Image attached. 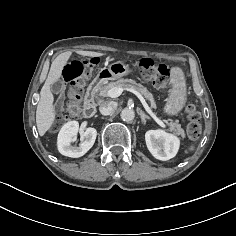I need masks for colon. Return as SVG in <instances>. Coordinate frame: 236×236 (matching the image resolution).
<instances>
[{
	"label": "colon",
	"mask_w": 236,
	"mask_h": 236,
	"mask_svg": "<svg viewBox=\"0 0 236 236\" xmlns=\"http://www.w3.org/2000/svg\"><path fill=\"white\" fill-rule=\"evenodd\" d=\"M96 65L95 58L70 59L63 66L62 76L67 83V100L65 109L56 116L59 124L68 116L79 115L82 109L81 95L85 86V76L90 73ZM140 74L143 79L151 82L158 89L168 87L170 70L164 64H156L151 59H142L139 63ZM185 115L189 120L186 128L190 139L195 140L201 134L200 113L194 105L185 108Z\"/></svg>",
	"instance_id": "5ec220e1"
}]
</instances>
